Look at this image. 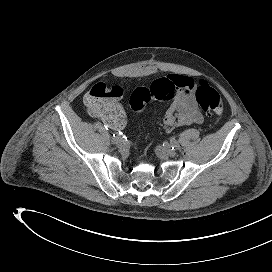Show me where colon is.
Wrapping results in <instances>:
<instances>
[{"label":"colon","instance_id":"1","mask_svg":"<svg viewBox=\"0 0 272 272\" xmlns=\"http://www.w3.org/2000/svg\"><path fill=\"white\" fill-rule=\"evenodd\" d=\"M177 84L171 78H160L148 87H139L130 96L129 104L132 110L141 111L152 100H170L175 97ZM123 90L120 87H107L96 83L85 95L84 102L88 110L101 118L108 117L118 110V100ZM195 99L201 108L211 117L223 114L224 104L220 94L205 81L195 86Z\"/></svg>","mask_w":272,"mask_h":272}]
</instances>
